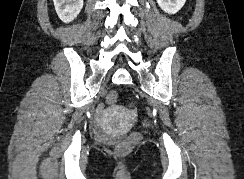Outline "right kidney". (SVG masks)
Here are the masks:
<instances>
[{
    "instance_id": "1",
    "label": "right kidney",
    "mask_w": 244,
    "mask_h": 179,
    "mask_svg": "<svg viewBox=\"0 0 244 179\" xmlns=\"http://www.w3.org/2000/svg\"><path fill=\"white\" fill-rule=\"evenodd\" d=\"M55 10L62 22L69 24L83 8V0H53Z\"/></svg>"
}]
</instances>
